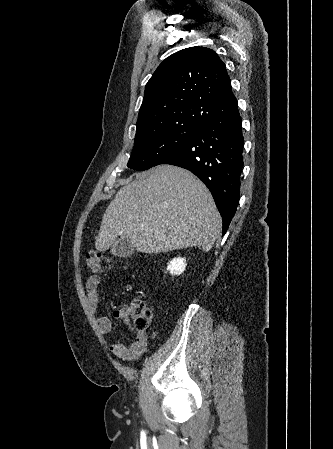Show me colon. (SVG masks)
<instances>
[{"label": "colon", "instance_id": "5ec220e1", "mask_svg": "<svg viewBox=\"0 0 333 449\" xmlns=\"http://www.w3.org/2000/svg\"><path fill=\"white\" fill-rule=\"evenodd\" d=\"M105 261L106 257L99 251L92 250L86 255V266L93 272L100 271ZM128 309L137 330H144L149 326L153 314L143 301L134 300Z\"/></svg>", "mask_w": 333, "mask_h": 449}]
</instances>
